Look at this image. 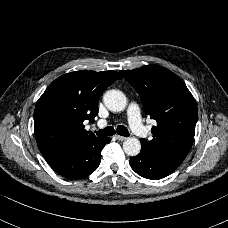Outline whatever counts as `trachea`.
Returning a JSON list of instances; mask_svg holds the SVG:
<instances>
[{
    "instance_id": "1",
    "label": "trachea",
    "mask_w": 228,
    "mask_h": 228,
    "mask_svg": "<svg viewBox=\"0 0 228 228\" xmlns=\"http://www.w3.org/2000/svg\"><path fill=\"white\" fill-rule=\"evenodd\" d=\"M116 133L118 135H121V136H124V137H128L130 135L129 132H128V129L125 126H123V125H119L117 127ZM96 134H97V136H112L113 134H115V130H114L113 127L108 126V127L104 128L102 130H98L96 132Z\"/></svg>"
}]
</instances>
